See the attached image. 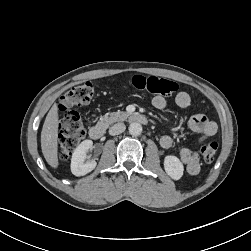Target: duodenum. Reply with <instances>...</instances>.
I'll return each mask as SVG.
<instances>
[{
	"label": "duodenum",
	"instance_id": "obj_1",
	"mask_svg": "<svg viewBox=\"0 0 251 251\" xmlns=\"http://www.w3.org/2000/svg\"><path fill=\"white\" fill-rule=\"evenodd\" d=\"M127 119L130 122L143 124V125L148 123V119L144 115H141L138 113H133V114L128 115ZM104 133H105V128L103 125H94L89 129V136L93 140L101 139Z\"/></svg>",
	"mask_w": 251,
	"mask_h": 251
}]
</instances>
